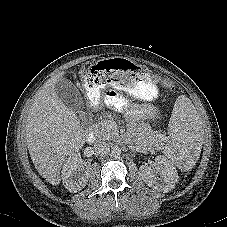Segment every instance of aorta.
<instances>
[{
	"label": "aorta",
	"instance_id": "obj_1",
	"mask_svg": "<svg viewBox=\"0 0 227 227\" xmlns=\"http://www.w3.org/2000/svg\"><path fill=\"white\" fill-rule=\"evenodd\" d=\"M121 154V148L117 145L111 148V155L113 157H118Z\"/></svg>",
	"mask_w": 227,
	"mask_h": 227
}]
</instances>
